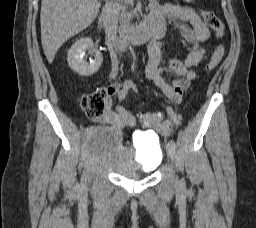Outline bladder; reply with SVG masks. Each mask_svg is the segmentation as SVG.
Segmentation results:
<instances>
[{"mask_svg": "<svg viewBox=\"0 0 256 228\" xmlns=\"http://www.w3.org/2000/svg\"><path fill=\"white\" fill-rule=\"evenodd\" d=\"M91 160L118 176L128 179L154 171L162 159V148L156 138L137 141V150L127 148L121 133L110 128H95L87 140Z\"/></svg>", "mask_w": 256, "mask_h": 228, "instance_id": "obj_1", "label": "bladder"}]
</instances>
